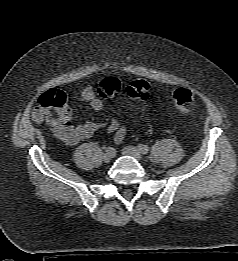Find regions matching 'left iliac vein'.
<instances>
[{"label": "left iliac vein", "mask_w": 238, "mask_h": 261, "mask_svg": "<svg viewBox=\"0 0 238 261\" xmlns=\"http://www.w3.org/2000/svg\"><path fill=\"white\" fill-rule=\"evenodd\" d=\"M123 154L132 156L136 160L140 161L142 159L141 152L134 146H127L123 149Z\"/></svg>", "instance_id": "obj_1"}]
</instances>
